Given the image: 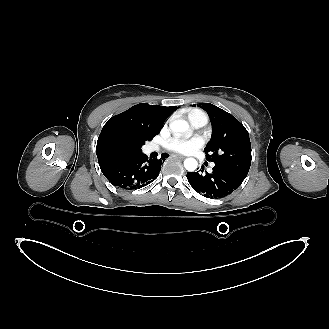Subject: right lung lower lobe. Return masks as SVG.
I'll return each mask as SVG.
<instances>
[{"instance_id":"obj_1","label":"right lung lower lobe","mask_w":329,"mask_h":329,"mask_svg":"<svg viewBox=\"0 0 329 329\" xmlns=\"http://www.w3.org/2000/svg\"><path fill=\"white\" fill-rule=\"evenodd\" d=\"M169 157L166 153L160 159H150L142 152L124 158L112 159L100 163L104 176L114 186L134 190L150 184L156 179L161 170L164 159Z\"/></svg>"}]
</instances>
